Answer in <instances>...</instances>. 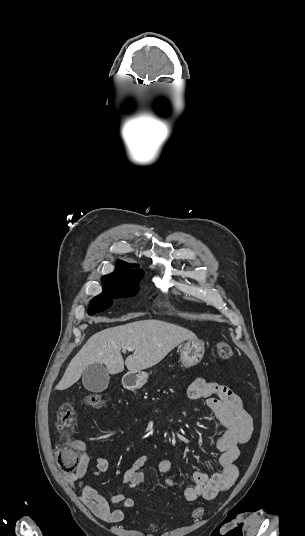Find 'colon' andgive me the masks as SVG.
<instances>
[{
  "label": "colon",
  "mask_w": 305,
  "mask_h": 536,
  "mask_svg": "<svg viewBox=\"0 0 305 536\" xmlns=\"http://www.w3.org/2000/svg\"><path fill=\"white\" fill-rule=\"evenodd\" d=\"M215 355L221 360H228L232 356V350L230 344L227 342H218L214 349ZM83 402L85 405L92 408H101L105 404V398L99 393H88L84 396ZM76 422V412L72 403H63L57 413L56 417V429L61 436H65L73 429ZM80 447L77 440L70 439L67 443H60L57 447V460L60 462V469L62 472L69 473L76 471L78 468V452ZM132 476L131 488L138 490L141 483L144 481L142 474H137L135 469L130 471ZM137 474V475H136ZM204 511L202 509L192 510L190 515L192 517H202Z\"/></svg>",
  "instance_id": "obj_1"
}]
</instances>
